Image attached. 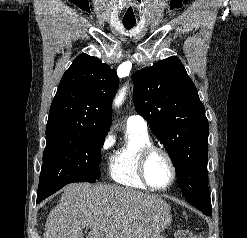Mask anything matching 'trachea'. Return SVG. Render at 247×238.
Instances as JSON below:
<instances>
[{
    "mask_svg": "<svg viewBox=\"0 0 247 238\" xmlns=\"http://www.w3.org/2000/svg\"><path fill=\"white\" fill-rule=\"evenodd\" d=\"M135 23H136L135 21H124L123 20V25L128 30L131 29V28H133L134 25H135Z\"/></svg>",
    "mask_w": 247,
    "mask_h": 238,
    "instance_id": "trachea-1",
    "label": "trachea"
}]
</instances>
